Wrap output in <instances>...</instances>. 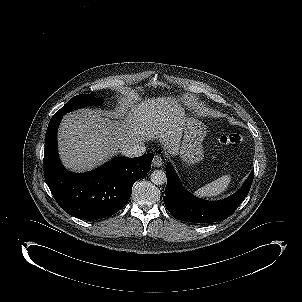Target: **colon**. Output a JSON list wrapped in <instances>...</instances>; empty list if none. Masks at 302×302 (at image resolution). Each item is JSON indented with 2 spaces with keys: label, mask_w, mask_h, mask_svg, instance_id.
Wrapping results in <instances>:
<instances>
[{
  "label": "colon",
  "mask_w": 302,
  "mask_h": 302,
  "mask_svg": "<svg viewBox=\"0 0 302 302\" xmlns=\"http://www.w3.org/2000/svg\"><path fill=\"white\" fill-rule=\"evenodd\" d=\"M241 140V136L237 133L224 134L218 137V143L225 146L237 145Z\"/></svg>",
  "instance_id": "1"
}]
</instances>
